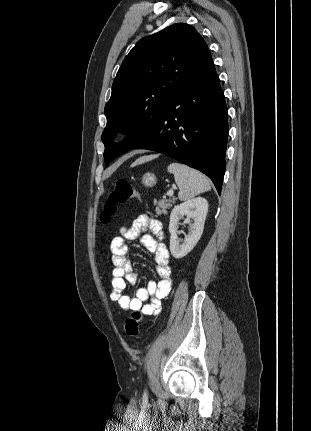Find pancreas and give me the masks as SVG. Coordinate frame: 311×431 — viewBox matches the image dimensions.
<instances>
[{
	"label": "pancreas",
	"instance_id": "obj_1",
	"mask_svg": "<svg viewBox=\"0 0 311 431\" xmlns=\"http://www.w3.org/2000/svg\"><path fill=\"white\" fill-rule=\"evenodd\" d=\"M176 200L177 198H174V196H172L171 200H159V202L154 200V206H156L155 212H157L158 216H162V214L166 216L168 210L172 208V204H175Z\"/></svg>",
	"mask_w": 311,
	"mask_h": 431
}]
</instances>
